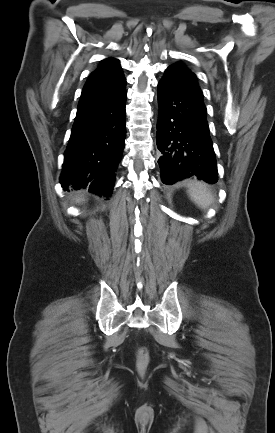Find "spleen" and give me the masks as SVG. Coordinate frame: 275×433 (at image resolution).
I'll list each match as a JSON object with an SVG mask.
<instances>
[{"mask_svg": "<svg viewBox=\"0 0 275 433\" xmlns=\"http://www.w3.org/2000/svg\"><path fill=\"white\" fill-rule=\"evenodd\" d=\"M188 193L191 200L201 208H206L212 201V195L203 183H193Z\"/></svg>", "mask_w": 275, "mask_h": 433, "instance_id": "obj_1", "label": "spleen"}]
</instances>
